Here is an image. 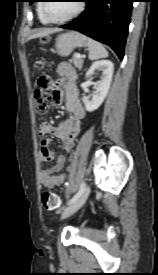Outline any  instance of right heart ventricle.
Here are the masks:
<instances>
[{
  "label": "right heart ventricle",
  "instance_id": "e07e8e85",
  "mask_svg": "<svg viewBox=\"0 0 158 275\" xmlns=\"http://www.w3.org/2000/svg\"><path fill=\"white\" fill-rule=\"evenodd\" d=\"M41 5H42L41 3L37 4V14H38L39 21L42 24H48V22L46 21V19L44 18L43 14H42Z\"/></svg>",
  "mask_w": 158,
  "mask_h": 275
}]
</instances>
